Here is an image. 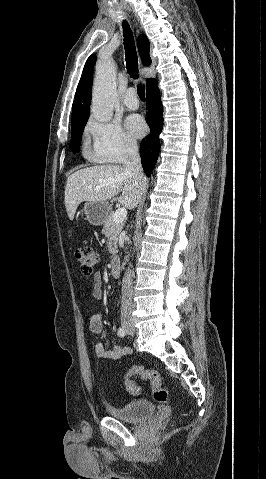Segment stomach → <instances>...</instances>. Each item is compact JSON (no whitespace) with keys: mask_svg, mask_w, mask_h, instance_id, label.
<instances>
[{"mask_svg":"<svg viewBox=\"0 0 266 479\" xmlns=\"http://www.w3.org/2000/svg\"><path fill=\"white\" fill-rule=\"evenodd\" d=\"M111 207L104 201H88L84 206L86 219L92 225H101L107 219Z\"/></svg>","mask_w":266,"mask_h":479,"instance_id":"1","label":"stomach"}]
</instances>
